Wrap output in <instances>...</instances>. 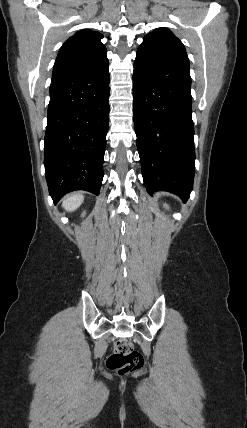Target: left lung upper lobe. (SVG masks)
Masks as SVG:
<instances>
[{
    "instance_id": "5c2ea615",
    "label": "left lung upper lobe",
    "mask_w": 247,
    "mask_h": 428,
    "mask_svg": "<svg viewBox=\"0 0 247 428\" xmlns=\"http://www.w3.org/2000/svg\"><path fill=\"white\" fill-rule=\"evenodd\" d=\"M138 49L155 53L166 60L189 68V59L184 45L167 28H157L145 35Z\"/></svg>"
}]
</instances>
